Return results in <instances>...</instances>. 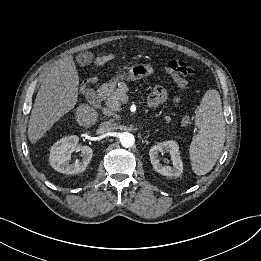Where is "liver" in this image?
Here are the masks:
<instances>
[{
  "label": "liver",
  "instance_id": "1",
  "mask_svg": "<svg viewBox=\"0 0 261 261\" xmlns=\"http://www.w3.org/2000/svg\"><path fill=\"white\" fill-rule=\"evenodd\" d=\"M79 76L72 56L65 57L45 76L37 93L28 125V139L35 143L65 114L74 108L78 99ZM98 113L89 105L76 110L79 125L90 127Z\"/></svg>",
  "mask_w": 261,
  "mask_h": 261
}]
</instances>
